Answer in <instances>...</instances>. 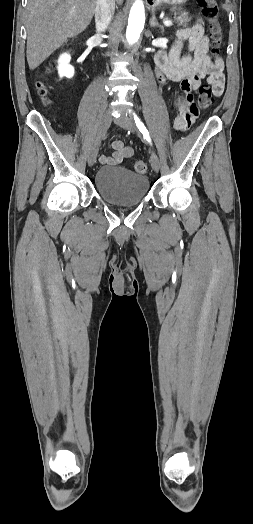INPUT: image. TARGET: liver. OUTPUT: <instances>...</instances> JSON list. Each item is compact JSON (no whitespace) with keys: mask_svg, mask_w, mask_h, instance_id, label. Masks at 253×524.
I'll return each mask as SVG.
<instances>
[{"mask_svg":"<svg viewBox=\"0 0 253 524\" xmlns=\"http://www.w3.org/2000/svg\"><path fill=\"white\" fill-rule=\"evenodd\" d=\"M121 4L123 0H116ZM97 0H29L27 61L36 69L68 38L82 33L95 13Z\"/></svg>","mask_w":253,"mask_h":524,"instance_id":"liver-1","label":"liver"}]
</instances>
